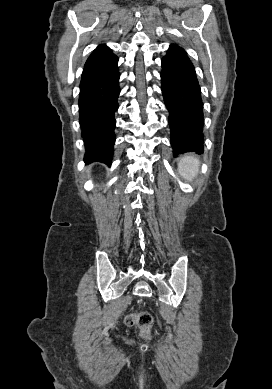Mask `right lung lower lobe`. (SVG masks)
Masks as SVG:
<instances>
[{"mask_svg":"<svg viewBox=\"0 0 272 389\" xmlns=\"http://www.w3.org/2000/svg\"><path fill=\"white\" fill-rule=\"evenodd\" d=\"M117 63L118 58L113 55L85 66L81 76L78 104L86 162L111 163L112 160L114 114L119 107L120 93Z\"/></svg>","mask_w":272,"mask_h":389,"instance_id":"obj_1","label":"right lung lower lobe"}]
</instances>
